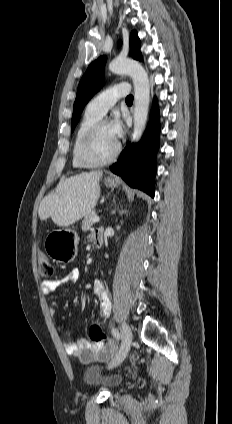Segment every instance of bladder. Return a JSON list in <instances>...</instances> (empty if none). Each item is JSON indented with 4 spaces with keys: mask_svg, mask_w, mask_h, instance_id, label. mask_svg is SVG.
<instances>
[{
    "mask_svg": "<svg viewBox=\"0 0 232 424\" xmlns=\"http://www.w3.org/2000/svg\"><path fill=\"white\" fill-rule=\"evenodd\" d=\"M84 380L87 384L93 386H103L114 388L121 383V377L106 372V368L101 365H92L85 369Z\"/></svg>",
    "mask_w": 232,
    "mask_h": 424,
    "instance_id": "1",
    "label": "bladder"
}]
</instances>
